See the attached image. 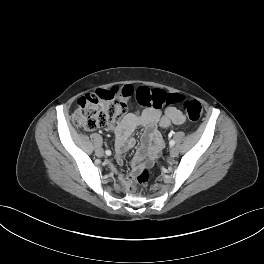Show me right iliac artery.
Wrapping results in <instances>:
<instances>
[{
    "mask_svg": "<svg viewBox=\"0 0 264 264\" xmlns=\"http://www.w3.org/2000/svg\"><path fill=\"white\" fill-rule=\"evenodd\" d=\"M105 153H106V155H108V156L111 155V151H110V150H106Z\"/></svg>",
    "mask_w": 264,
    "mask_h": 264,
    "instance_id": "obj_1",
    "label": "right iliac artery"
}]
</instances>
